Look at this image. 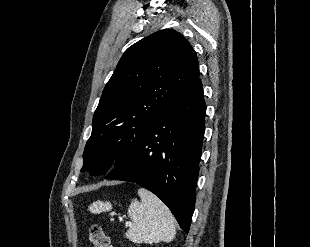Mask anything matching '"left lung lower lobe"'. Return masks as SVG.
Listing matches in <instances>:
<instances>
[{"instance_id": "0a47b994", "label": "left lung lower lobe", "mask_w": 310, "mask_h": 247, "mask_svg": "<svg viewBox=\"0 0 310 247\" xmlns=\"http://www.w3.org/2000/svg\"><path fill=\"white\" fill-rule=\"evenodd\" d=\"M205 112L198 78L153 122L134 153L105 177L153 192L186 233L195 207Z\"/></svg>"}]
</instances>
